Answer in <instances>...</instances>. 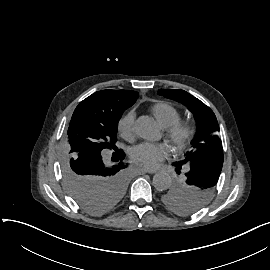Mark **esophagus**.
<instances>
[{
  "label": "esophagus",
  "mask_w": 270,
  "mask_h": 270,
  "mask_svg": "<svg viewBox=\"0 0 270 270\" xmlns=\"http://www.w3.org/2000/svg\"><path fill=\"white\" fill-rule=\"evenodd\" d=\"M155 172H156V168H142L139 170L140 174H144V173L153 174Z\"/></svg>",
  "instance_id": "34e87169"
}]
</instances>
